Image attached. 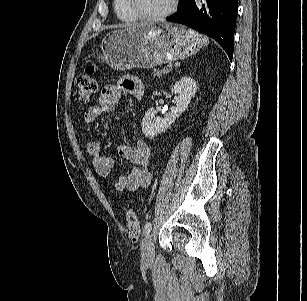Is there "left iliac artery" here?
Returning <instances> with one entry per match:
<instances>
[{"mask_svg": "<svg viewBox=\"0 0 307 301\" xmlns=\"http://www.w3.org/2000/svg\"><path fill=\"white\" fill-rule=\"evenodd\" d=\"M152 229V223L151 222H147L143 228V234L144 235H147L149 234V232L151 231Z\"/></svg>", "mask_w": 307, "mask_h": 301, "instance_id": "1", "label": "left iliac artery"}]
</instances>
